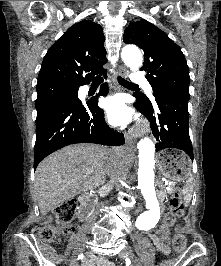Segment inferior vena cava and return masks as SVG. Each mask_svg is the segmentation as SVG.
Returning <instances> with one entry per match:
<instances>
[{"label":"inferior vena cava","instance_id":"1","mask_svg":"<svg viewBox=\"0 0 221 266\" xmlns=\"http://www.w3.org/2000/svg\"><path fill=\"white\" fill-rule=\"evenodd\" d=\"M106 173L111 178L112 183L118 184L121 180L125 179L127 168L113 155L111 152L105 154Z\"/></svg>","mask_w":221,"mask_h":266}]
</instances>
